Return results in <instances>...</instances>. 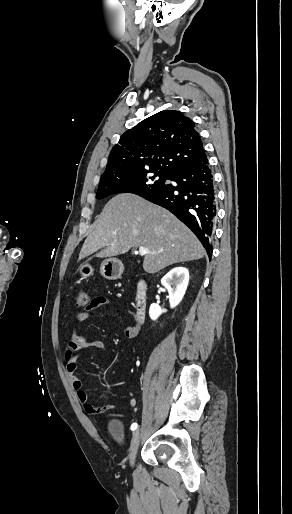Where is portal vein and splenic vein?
<instances>
[{"label":"portal vein and splenic vein","mask_w":292,"mask_h":514,"mask_svg":"<svg viewBox=\"0 0 292 514\" xmlns=\"http://www.w3.org/2000/svg\"><path fill=\"white\" fill-rule=\"evenodd\" d=\"M137 254H140V256H145V254H159V252H150V250H147V248L140 246L139 252H137Z\"/></svg>","instance_id":"portal-vein-and-splenic-vein-1"}]
</instances>
